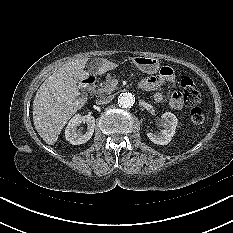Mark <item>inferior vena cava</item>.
Returning a JSON list of instances; mask_svg holds the SVG:
<instances>
[{
    "label": "inferior vena cava",
    "mask_w": 233,
    "mask_h": 233,
    "mask_svg": "<svg viewBox=\"0 0 233 233\" xmlns=\"http://www.w3.org/2000/svg\"><path fill=\"white\" fill-rule=\"evenodd\" d=\"M111 100H112L111 97L102 96V97H100V99H98L96 102H97L98 104H102V105H103V104L109 103Z\"/></svg>",
    "instance_id": "obj_1"
}]
</instances>
